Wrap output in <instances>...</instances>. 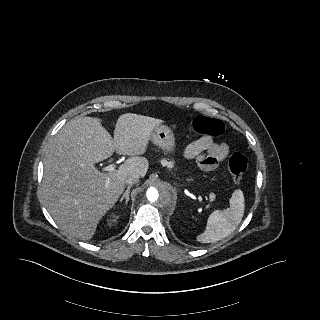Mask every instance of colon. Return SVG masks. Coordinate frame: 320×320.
Returning a JSON list of instances; mask_svg holds the SVG:
<instances>
[{
    "label": "colon",
    "instance_id": "colon-1",
    "mask_svg": "<svg viewBox=\"0 0 320 320\" xmlns=\"http://www.w3.org/2000/svg\"><path fill=\"white\" fill-rule=\"evenodd\" d=\"M192 127L201 134L211 137L224 133V124L221 120L208 116H198L193 119ZM248 159L239 152L233 153L228 161L229 172L235 182H240L247 170Z\"/></svg>",
    "mask_w": 320,
    "mask_h": 320
}]
</instances>
